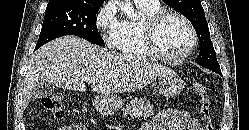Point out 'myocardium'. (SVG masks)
<instances>
[{
  "label": "myocardium",
  "instance_id": "f54148a6",
  "mask_svg": "<svg viewBox=\"0 0 249 130\" xmlns=\"http://www.w3.org/2000/svg\"><path fill=\"white\" fill-rule=\"evenodd\" d=\"M170 16L180 19L186 25L190 33V43L188 48L182 54L177 56H171L164 53L157 42V30L164 19ZM143 37L146 48L150 54L169 63H179L186 60L193 53L198 44L197 32L192 22L187 16L175 10H159L146 17L143 22Z\"/></svg>",
  "mask_w": 249,
  "mask_h": 130
}]
</instances>
